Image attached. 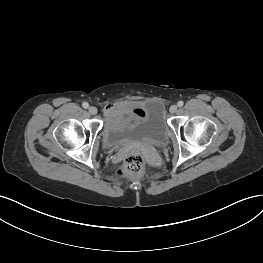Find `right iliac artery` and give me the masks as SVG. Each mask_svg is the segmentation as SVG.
<instances>
[{
    "instance_id": "right-iliac-artery-1",
    "label": "right iliac artery",
    "mask_w": 263,
    "mask_h": 263,
    "mask_svg": "<svg viewBox=\"0 0 263 263\" xmlns=\"http://www.w3.org/2000/svg\"><path fill=\"white\" fill-rule=\"evenodd\" d=\"M82 106L83 108L87 109L89 107V104L87 102H83Z\"/></svg>"
}]
</instances>
